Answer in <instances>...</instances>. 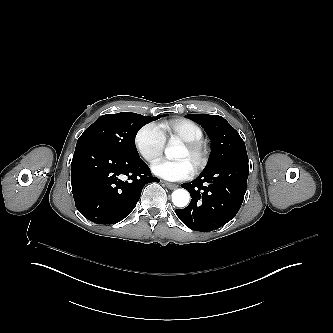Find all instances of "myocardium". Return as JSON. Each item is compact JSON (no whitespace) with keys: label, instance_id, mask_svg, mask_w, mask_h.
<instances>
[{"label":"myocardium","instance_id":"f54148a6","mask_svg":"<svg viewBox=\"0 0 333 333\" xmlns=\"http://www.w3.org/2000/svg\"><path fill=\"white\" fill-rule=\"evenodd\" d=\"M185 147L189 150L195 160V171L200 172L203 170L209 158V148L207 144L202 140L189 141L185 143Z\"/></svg>","mask_w":333,"mask_h":333}]
</instances>
